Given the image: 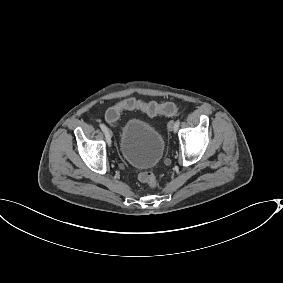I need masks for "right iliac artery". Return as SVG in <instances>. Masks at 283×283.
<instances>
[{
    "label": "right iliac artery",
    "mask_w": 283,
    "mask_h": 283,
    "mask_svg": "<svg viewBox=\"0 0 283 283\" xmlns=\"http://www.w3.org/2000/svg\"><path fill=\"white\" fill-rule=\"evenodd\" d=\"M100 128L106 136L107 143L110 145L111 144V137L108 136L107 127L104 124H100Z\"/></svg>",
    "instance_id": "obj_1"
}]
</instances>
